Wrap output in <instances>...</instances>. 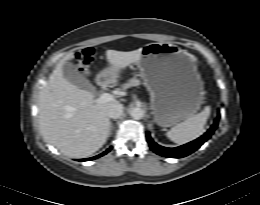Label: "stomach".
<instances>
[{
  "instance_id": "1",
  "label": "stomach",
  "mask_w": 260,
  "mask_h": 205,
  "mask_svg": "<svg viewBox=\"0 0 260 205\" xmlns=\"http://www.w3.org/2000/svg\"><path fill=\"white\" fill-rule=\"evenodd\" d=\"M150 94L154 122L171 127L193 116L204 101V82L194 57L179 46L150 43L141 48L137 61ZM101 76L111 81L110 67Z\"/></svg>"
}]
</instances>
